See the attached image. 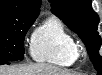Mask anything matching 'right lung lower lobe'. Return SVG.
Here are the masks:
<instances>
[{
    "instance_id": "obj_1",
    "label": "right lung lower lobe",
    "mask_w": 102,
    "mask_h": 75,
    "mask_svg": "<svg viewBox=\"0 0 102 75\" xmlns=\"http://www.w3.org/2000/svg\"><path fill=\"white\" fill-rule=\"evenodd\" d=\"M9 62L8 61H5V62H1L0 64H8Z\"/></svg>"
}]
</instances>
